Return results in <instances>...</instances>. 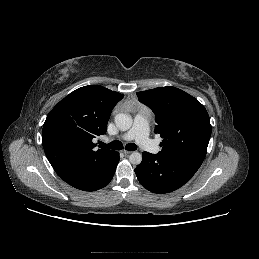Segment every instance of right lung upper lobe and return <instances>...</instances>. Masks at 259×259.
I'll use <instances>...</instances> for the list:
<instances>
[{
  "label": "right lung upper lobe",
  "mask_w": 259,
  "mask_h": 259,
  "mask_svg": "<svg viewBox=\"0 0 259 259\" xmlns=\"http://www.w3.org/2000/svg\"><path fill=\"white\" fill-rule=\"evenodd\" d=\"M123 96L103 86H84L50 111L43 125L42 144L50 164L64 181L112 158L115 151L94 150L92 139L106 133L111 111Z\"/></svg>",
  "instance_id": "cb5924a9"
}]
</instances>
